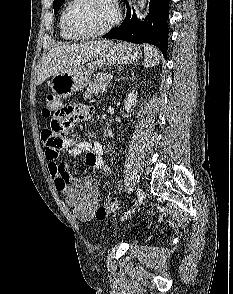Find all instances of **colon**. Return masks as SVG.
<instances>
[{
	"label": "colon",
	"mask_w": 233,
	"mask_h": 294,
	"mask_svg": "<svg viewBox=\"0 0 233 294\" xmlns=\"http://www.w3.org/2000/svg\"><path fill=\"white\" fill-rule=\"evenodd\" d=\"M63 106L53 94H47L43 100L42 116L46 119L52 117L53 110H61ZM117 210V202L115 199H110L103 203L95 212L98 220L105 219L108 215Z\"/></svg>",
	"instance_id": "colon-1"
}]
</instances>
